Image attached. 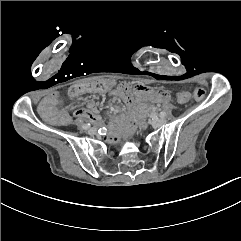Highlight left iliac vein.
<instances>
[{"label": "left iliac vein", "instance_id": "4c4485c4", "mask_svg": "<svg viewBox=\"0 0 241 241\" xmlns=\"http://www.w3.org/2000/svg\"><path fill=\"white\" fill-rule=\"evenodd\" d=\"M167 120L165 118H154L152 119V125L155 127H160L164 124H166Z\"/></svg>", "mask_w": 241, "mask_h": 241}]
</instances>
